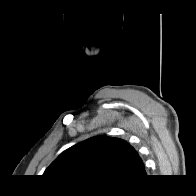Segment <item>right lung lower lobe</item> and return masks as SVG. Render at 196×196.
<instances>
[{"mask_svg":"<svg viewBox=\"0 0 196 196\" xmlns=\"http://www.w3.org/2000/svg\"><path fill=\"white\" fill-rule=\"evenodd\" d=\"M133 183H135V182L127 183V184H121V185H118V186H128V185H131V184H133Z\"/></svg>","mask_w":196,"mask_h":196,"instance_id":"1","label":"right lung lower lobe"}]
</instances>
